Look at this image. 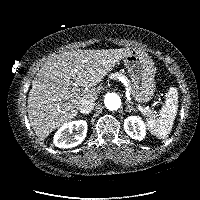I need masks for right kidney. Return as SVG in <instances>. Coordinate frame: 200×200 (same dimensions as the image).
I'll return each instance as SVG.
<instances>
[{"mask_svg": "<svg viewBox=\"0 0 200 200\" xmlns=\"http://www.w3.org/2000/svg\"><path fill=\"white\" fill-rule=\"evenodd\" d=\"M87 122L77 120L65 123L54 135V144L59 148H72L79 145L86 137ZM73 130H76L75 134Z\"/></svg>", "mask_w": 200, "mask_h": 200, "instance_id": "right-kidney-1", "label": "right kidney"}]
</instances>
